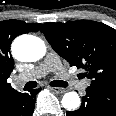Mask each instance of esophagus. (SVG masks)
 Masks as SVG:
<instances>
[{"mask_svg":"<svg viewBox=\"0 0 116 116\" xmlns=\"http://www.w3.org/2000/svg\"><path fill=\"white\" fill-rule=\"evenodd\" d=\"M50 90H53L54 92L56 93H65L66 92V89L65 88H59V87H49Z\"/></svg>","mask_w":116,"mask_h":116,"instance_id":"1","label":"esophagus"}]
</instances>
